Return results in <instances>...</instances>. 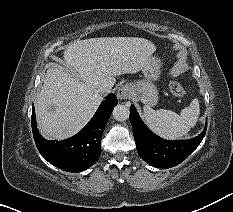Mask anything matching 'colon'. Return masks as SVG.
Here are the masks:
<instances>
[{"label":"colon","mask_w":233,"mask_h":212,"mask_svg":"<svg viewBox=\"0 0 233 212\" xmlns=\"http://www.w3.org/2000/svg\"><path fill=\"white\" fill-rule=\"evenodd\" d=\"M169 88L175 96L183 97L187 94V90L176 80L170 82Z\"/></svg>","instance_id":"obj_1"}]
</instances>
